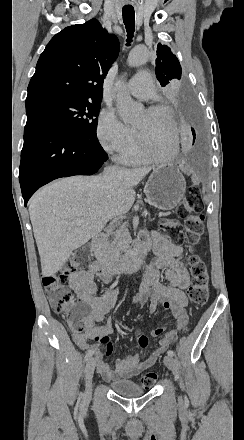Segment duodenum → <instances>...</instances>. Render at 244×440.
Segmentation results:
<instances>
[{
    "label": "duodenum",
    "instance_id": "410a0bca",
    "mask_svg": "<svg viewBox=\"0 0 244 440\" xmlns=\"http://www.w3.org/2000/svg\"><path fill=\"white\" fill-rule=\"evenodd\" d=\"M89 245L92 250L99 251L105 247V238L103 235L94 236ZM148 248L140 244L134 253L126 254L120 258L107 259L103 267L110 273H136L142 267Z\"/></svg>",
    "mask_w": 244,
    "mask_h": 440
}]
</instances>
